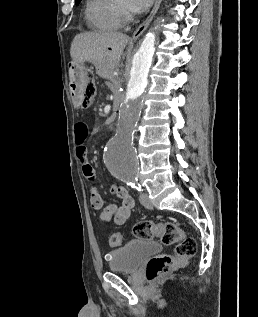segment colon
Segmentation results:
<instances>
[{
  "label": "colon",
  "instance_id": "colon-1",
  "mask_svg": "<svg viewBox=\"0 0 258 317\" xmlns=\"http://www.w3.org/2000/svg\"><path fill=\"white\" fill-rule=\"evenodd\" d=\"M96 87L94 78L88 74L80 87L79 98L83 106H89L95 97ZM133 234L138 239H159L164 245H175L174 254H163L152 258L146 266V276L150 281L157 280L171 270L181 266L185 260L195 256L197 252L196 241L187 236L177 222L167 221L157 223L153 221H139L133 227ZM107 242L111 247H119L123 242L120 232L107 234Z\"/></svg>",
  "mask_w": 258,
  "mask_h": 317
}]
</instances>
